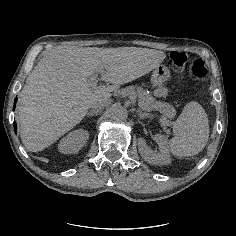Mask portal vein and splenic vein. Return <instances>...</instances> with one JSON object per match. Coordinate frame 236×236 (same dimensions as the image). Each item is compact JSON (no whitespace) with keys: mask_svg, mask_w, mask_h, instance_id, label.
Returning <instances> with one entry per match:
<instances>
[{"mask_svg":"<svg viewBox=\"0 0 236 236\" xmlns=\"http://www.w3.org/2000/svg\"><path fill=\"white\" fill-rule=\"evenodd\" d=\"M88 83L91 86H96L98 83V73L93 74L92 76H90Z\"/></svg>","mask_w":236,"mask_h":236,"instance_id":"1","label":"portal vein and splenic vein"}]
</instances>
